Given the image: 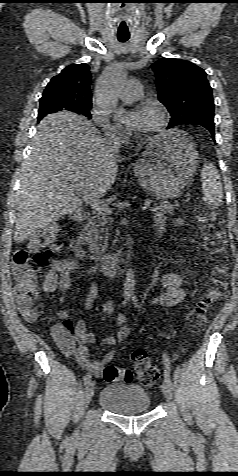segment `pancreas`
Wrapping results in <instances>:
<instances>
[{"label":"pancreas","instance_id":"cf45deb5","mask_svg":"<svg viewBox=\"0 0 238 476\" xmlns=\"http://www.w3.org/2000/svg\"><path fill=\"white\" fill-rule=\"evenodd\" d=\"M177 206V203L172 205L170 202L163 200L159 203L154 202L151 211L156 215L172 214ZM107 221V215L100 213L94 214V216L88 220L83 230L84 244L89 248L90 252L95 255H101L107 248Z\"/></svg>","mask_w":238,"mask_h":476}]
</instances>
